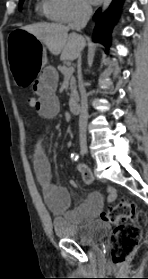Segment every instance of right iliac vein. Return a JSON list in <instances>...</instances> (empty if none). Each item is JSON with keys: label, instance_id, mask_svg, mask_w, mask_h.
<instances>
[{"label": "right iliac vein", "instance_id": "right-iliac-vein-1", "mask_svg": "<svg viewBox=\"0 0 148 279\" xmlns=\"http://www.w3.org/2000/svg\"><path fill=\"white\" fill-rule=\"evenodd\" d=\"M82 152H83L84 154H86V155H87V154H88V150H87V148H86V147H83V148H82Z\"/></svg>", "mask_w": 148, "mask_h": 279}]
</instances>
